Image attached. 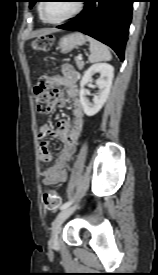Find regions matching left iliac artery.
<instances>
[{
    "label": "left iliac artery",
    "instance_id": "left-iliac-artery-1",
    "mask_svg": "<svg viewBox=\"0 0 158 275\" xmlns=\"http://www.w3.org/2000/svg\"><path fill=\"white\" fill-rule=\"evenodd\" d=\"M74 200H70L68 202H65L62 206H61V210L69 207L72 203H73Z\"/></svg>",
    "mask_w": 158,
    "mask_h": 275
}]
</instances>
